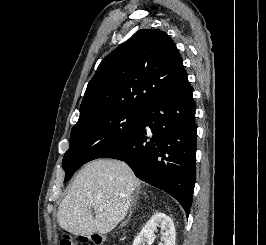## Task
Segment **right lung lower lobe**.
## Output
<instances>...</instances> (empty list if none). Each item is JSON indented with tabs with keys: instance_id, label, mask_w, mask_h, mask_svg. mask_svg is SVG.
<instances>
[{
	"instance_id": "1",
	"label": "right lung lower lobe",
	"mask_w": 266,
	"mask_h": 245,
	"mask_svg": "<svg viewBox=\"0 0 266 245\" xmlns=\"http://www.w3.org/2000/svg\"><path fill=\"white\" fill-rule=\"evenodd\" d=\"M196 133L187 80L151 104L131 136L100 158L125 161L139 179L174 197L188 216L196 180Z\"/></svg>"
}]
</instances>
